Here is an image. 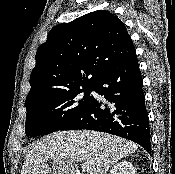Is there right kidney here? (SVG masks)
I'll return each mask as SVG.
<instances>
[{"label":"right kidney","instance_id":"ca27d5eb","mask_svg":"<svg viewBox=\"0 0 175 174\" xmlns=\"http://www.w3.org/2000/svg\"><path fill=\"white\" fill-rule=\"evenodd\" d=\"M110 174H136V169L131 162L124 160L115 164Z\"/></svg>","mask_w":175,"mask_h":174}]
</instances>
